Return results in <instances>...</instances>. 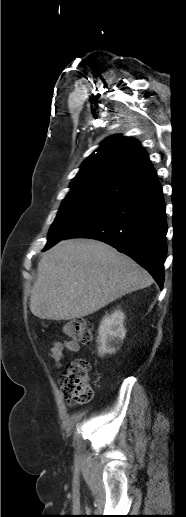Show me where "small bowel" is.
Listing matches in <instances>:
<instances>
[{
    "label": "small bowel",
    "mask_w": 186,
    "mask_h": 517,
    "mask_svg": "<svg viewBox=\"0 0 186 517\" xmlns=\"http://www.w3.org/2000/svg\"><path fill=\"white\" fill-rule=\"evenodd\" d=\"M65 350L70 353H77L80 350V344L75 341H55L49 351L50 359L59 368L65 359Z\"/></svg>",
    "instance_id": "1"
}]
</instances>
